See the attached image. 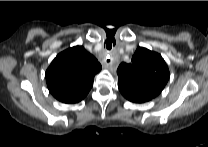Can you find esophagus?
I'll return each mask as SVG.
<instances>
[{"instance_id":"34e87169","label":"esophagus","mask_w":208,"mask_h":147,"mask_svg":"<svg viewBox=\"0 0 208 147\" xmlns=\"http://www.w3.org/2000/svg\"><path fill=\"white\" fill-rule=\"evenodd\" d=\"M104 68L106 69H112L113 68V63H112V59L109 57H106L104 60V64H103Z\"/></svg>"}]
</instances>
